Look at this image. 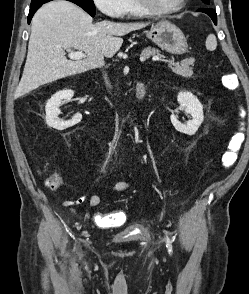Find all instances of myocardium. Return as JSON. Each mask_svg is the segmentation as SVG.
<instances>
[{
  "mask_svg": "<svg viewBox=\"0 0 249 294\" xmlns=\"http://www.w3.org/2000/svg\"><path fill=\"white\" fill-rule=\"evenodd\" d=\"M188 0H180L178 2V4H176L174 7L172 8H168V9H164V10H159L156 9L150 0H136L138 6L140 7V9L149 16H165V15H169L172 13H175L177 11H179L187 2Z\"/></svg>",
  "mask_w": 249,
  "mask_h": 294,
  "instance_id": "obj_1",
  "label": "myocardium"
}]
</instances>
